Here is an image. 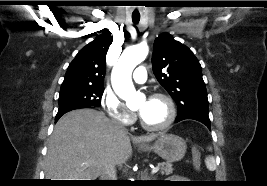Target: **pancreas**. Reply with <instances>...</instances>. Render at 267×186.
Instances as JSON below:
<instances>
[{"instance_id":"cf45deb5","label":"pancreas","mask_w":267,"mask_h":186,"mask_svg":"<svg viewBox=\"0 0 267 186\" xmlns=\"http://www.w3.org/2000/svg\"><path fill=\"white\" fill-rule=\"evenodd\" d=\"M158 167L160 168V173L162 175H170L173 173L172 164L167 162L158 163Z\"/></svg>"}]
</instances>
